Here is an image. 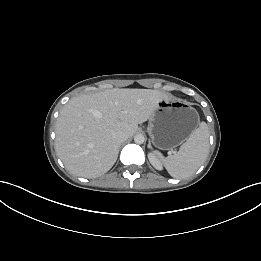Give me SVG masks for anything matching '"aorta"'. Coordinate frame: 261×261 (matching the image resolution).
I'll use <instances>...</instances> for the list:
<instances>
[{
	"label": "aorta",
	"instance_id": "obj_1",
	"mask_svg": "<svg viewBox=\"0 0 261 261\" xmlns=\"http://www.w3.org/2000/svg\"><path fill=\"white\" fill-rule=\"evenodd\" d=\"M144 141H145V137H144L142 134H137V135H135V137H134V142H135L136 144H143Z\"/></svg>",
	"mask_w": 261,
	"mask_h": 261
}]
</instances>
